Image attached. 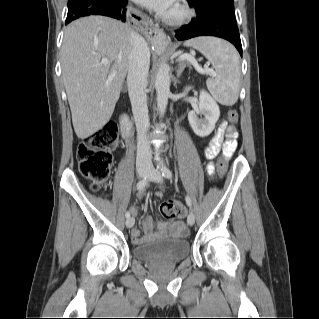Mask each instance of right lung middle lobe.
<instances>
[{
    "mask_svg": "<svg viewBox=\"0 0 319 319\" xmlns=\"http://www.w3.org/2000/svg\"><path fill=\"white\" fill-rule=\"evenodd\" d=\"M119 0H68V14L66 23L79 17L88 15V12L112 6Z\"/></svg>",
    "mask_w": 319,
    "mask_h": 319,
    "instance_id": "obj_1",
    "label": "right lung middle lobe"
}]
</instances>
